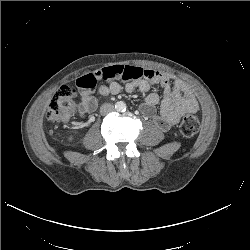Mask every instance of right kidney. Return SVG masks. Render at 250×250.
I'll use <instances>...</instances> for the list:
<instances>
[{
    "label": "right kidney",
    "instance_id": "1",
    "mask_svg": "<svg viewBox=\"0 0 250 250\" xmlns=\"http://www.w3.org/2000/svg\"><path fill=\"white\" fill-rule=\"evenodd\" d=\"M68 140H69V141H72V140H73V137H72V136L68 137Z\"/></svg>",
    "mask_w": 250,
    "mask_h": 250
}]
</instances>
